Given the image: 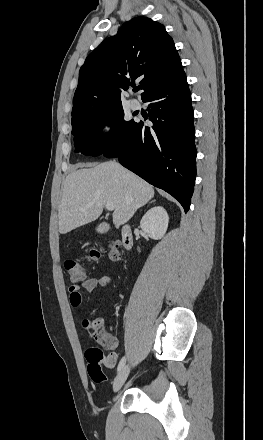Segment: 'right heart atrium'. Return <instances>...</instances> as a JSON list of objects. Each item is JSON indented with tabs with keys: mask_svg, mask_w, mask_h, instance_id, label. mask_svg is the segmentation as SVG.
I'll return each instance as SVG.
<instances>
[{
	"mask_svg": "<svg viewBox=\"0 0 263 440\" xmlns=\"http://www.w3.org/2000/svg\"><path fill=\"white\" fill-rule=\"evenodd\" d=\"M114 131V122L110 119H103L99 124V134L103 138L111 137Z\"/></svg>",
	"mask_w": 263,
	"mask_h": 440,
	"instance_id": "right-heart-atrium-1",
	"label": "right heart atrium"
}]
</instances>
